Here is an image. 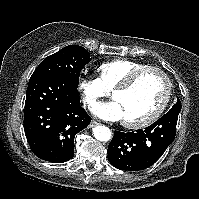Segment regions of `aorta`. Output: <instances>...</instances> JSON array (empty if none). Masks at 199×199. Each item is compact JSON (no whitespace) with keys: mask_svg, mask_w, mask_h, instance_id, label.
I'll use <instances>...</instances> for the list:
<instances>
[{"mask_svg":"<svg viewBox=\"0 0 199 199\" xmlns=\"http://www.w3.org/2000/svg\"><path fill=\"white\" fill-rule=\"evenodd\" d=\"M93 135L97 140L106 142L111 139L112 133L108 127L99 125L93 129Z\"/></svg>","mask_w":199,"mask_h":199,"instance_id":"1","label":"aorta"}]
</instances>
